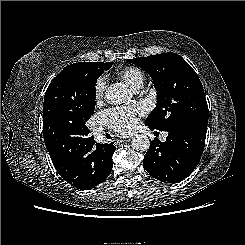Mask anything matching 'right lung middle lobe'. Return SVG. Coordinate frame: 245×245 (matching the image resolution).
I'll return each instance as SVG.
<instances>
[{
	"instance_id": "obj_1",
	"label": "right lung middle lobe",
	"mask_w": 245,
	"mask_h": 245,
	"mask_svg": "<svg viewBox=\"0 0 245 245\" xmlns=\"http://www.w3.org/2000/svg\"><path fill=\"white\" fill-rule=\"evenodd\" d=\"M81 69V84L88 98V107L83 116L82 122L78 126V134L88 135L89 130L86 126V122L94 113L96 104V82L98 77L105 71L108 70L113 62H83Z\"/></svg>"
}]
</instances>
